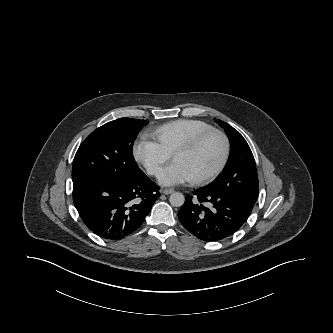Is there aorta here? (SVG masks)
Wrapping results in <instances>:
<instances>
[{"label": "aorta", "mask_w": 333, "mask_h": 333, "mask_svg": "<svg viewBox=\"0 0 333 333\" xmlns=\"http://www.w3.org/2000/svg\"><path fill=\"white\" fill-rule=\"evenodd\" d=\"M185 198L184 195L180 192H175L171 194L169 202L174 207H181L184 204Z\"/></svg>", "instance_id": "aorta-1"}]
</instances>
